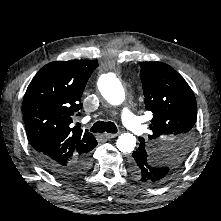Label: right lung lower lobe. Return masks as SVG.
I'll return each mask as SVG.
<instances>
[{
	"label": "right lung lower lobe",
	"instance_id": "right-lung-lower-lobe-1",
	"mask_svg": "<svg viewBox=\"0 0 221 221\" xmlns=\"http://www.w3.org/2000/svg\"><path fill=\"white\" fill-rule=\"evenodd\" d=\"M43 166L53 175L60 178H73L84 174L91 166V153L75 162L62 163L37 155Z\"/></svg>",
	"mask_w": 221,
	"mask_h": 221
}]
</instances>
